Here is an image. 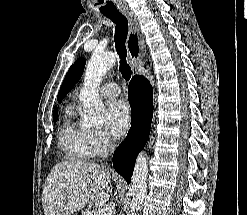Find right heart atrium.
<instances>
[{"label":"right heart atrium","mask_w":247,"mask_h":215,"mask_svg":"<svg viewBox=\"0 0 247 215\" xmlns=\"http://www.w3.org/2000/svg\"><path fill=\"white\" fill-rule=\"evenodd\" d=\"M93 156L105 155L113 145L109 134L103 130H91L88 133Z\"/></svg>","instance_id":"d8ad5b80"}]
</instances>
